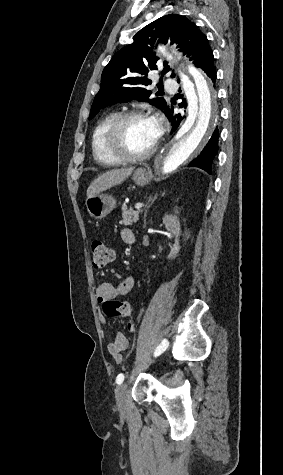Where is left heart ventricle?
<instances>
[{
    "mask_svg": "<svg viewBox=\"0 0 283 475\" xmlns=\"http://www.w3.org/2000/svg\"><path fill=\"white\" fill-rule=\"evenodd\" d=\"M150 117H141L129 121L123 128L119 143L107 149L108 156L138 157L148 152L156 143Z\"/></svg>",
    "mask_w": 283,
    "mask_h": 475,
    "instance_id": "left-heart-ventricle-1",
    "label": "left heart ventricle"
}]
</instances>
